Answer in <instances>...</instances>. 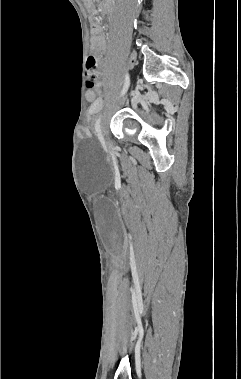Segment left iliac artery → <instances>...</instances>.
<instances>
[{"instance_id":"left-iliac-artery-1","label":"left iliac artery","mask_w":241,"mask_h":379,"mask_svg":"<svg viewBox=\"0 0 241 379\" xmlns=\"http://www.w3.org/2000/svg\"><path fill=\"white\" fill-rule=\"evenodd\" d=\"M129 84H130V77H129V74L126 73L125 74V78H124V85H123V88H122V91H121V96L124 95L127 92ZM101 118H102V115H100L98 117V119L96 120V123H95V132H96V134L98 136V139L101 141V143L104 144V139H103V135H102V132H101Z\"/></svg>"}]
</instances>
